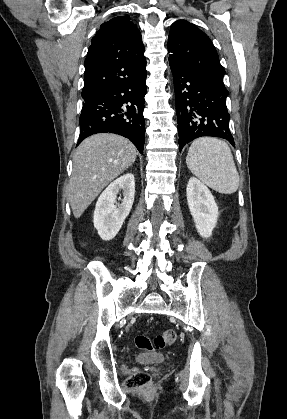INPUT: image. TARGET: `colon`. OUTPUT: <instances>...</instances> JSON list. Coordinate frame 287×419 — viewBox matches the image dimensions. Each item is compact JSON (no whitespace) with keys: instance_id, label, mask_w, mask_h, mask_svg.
I'll list each match as a JSON object with an SVG mask.
<instances>
[{"instance_id":"colon-1","label":"colon","mask_w":287,"mask_h":419,"mask_svg":"<svg viewBox=\"0 0 287 419\" xmlns=\"http://www.w3.org/2000/svg\"><path fill=\"white\" fill-rule=\"evenodd\" d=\"M177 335L173 330H167L157 335L154 340H151L146 335H137L135 343L138 349L144 351H153L155 349H163L175 343ZM150 377L145 372H137L131 375L127 381L128 388H142L149 384Z\"/></svg>"}]
</instances>
